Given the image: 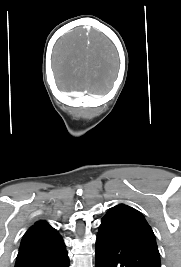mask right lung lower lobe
<instances>
[{"label": "right lung lower lobe", "mask_w": 181, "mask_h": 267, "mask_svg": "<svg viewBox=\"0 0 181 267\" xmlns=\"http://www.w3.org/2000/svg\"><path fill=\"white\" fill-rule=\"evenodd\" d=\"M15 267H69V258L65 247L50 252H19Z\"/></svg>", "instance_id": "98d812e1"}]
</instances>
